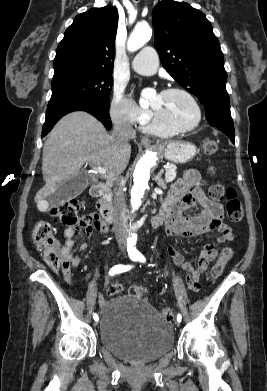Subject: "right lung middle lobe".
<instances>
[{"mask_svg": "<svg viewBox=\"0 0 267 391\" xmlns=\"http://www.w3.org/2000/svg\"><path fill=\"white\" fill-rule=\"evenodd\" d=\"M112 84L111 72L72 71L53 76L48 107L79 100L109 108Z\"/></svg>", "mask_w": 267, "mask_h": 391, "instance_id": "obj_1", "label": "right lung middle lobe"}]
</instances>
